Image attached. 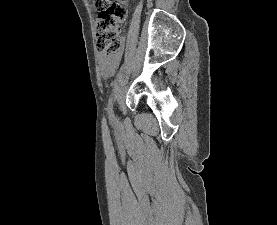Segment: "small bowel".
Returning a JSON list of instances; mask_svg holds the SVG:
<instances>
[{"label": "small bowel", "mask_w": 277, "mask_h": 225, "mask_svg": "<svg viewBox=\"0 0 277 225\" xmlns=\"http://www.w3.org/2000/svg\"><path fill=\"white\" fill-rule=\"evenodd\" d=\"M122 53L119 52L114 55H100L99 69L104 78L111 77L117 69L121 61Z\"/></svg>", "instance_id": "c3829d8e"}]
</instances>
